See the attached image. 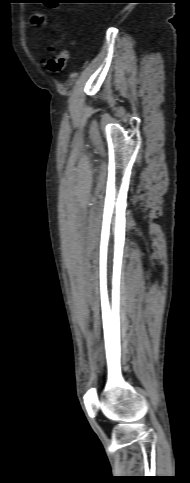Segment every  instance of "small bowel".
Instances as JSON below:
<instances>
[{
    "label": "small bowel",
    "mask_w": 190,
    "mask_h": 483,
    "mask_svg": "<svg viewBox=\"0 0 190 483\" xmlns=\"http://www.w3.org/2000/svg\"><path fill=\"white\" fill-rule=\"evenodd\" d=\"M33 22L35 24H43V18L41 16H35L33 17Z\"/></svg>",
    "instance_id": "c3829d8e"
}]
</instances>
